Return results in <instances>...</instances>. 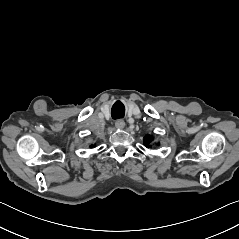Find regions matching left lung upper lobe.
Segmentation results:
<instances>
[{"instance_id": "obj_1", "label": "left lung upper lobe", "mask_w": 239, "mask_h": 239, "mask_svg": "<svg viewBox=\"0 0 239 239\" xmlns=\"http://www.w3.org/2000/svg\"><path fill=\"white\" fill-rule=\"evenodd\" d=\"M153 141V137L151 135H147L144 137V144L148 147L149 143Z\"/></svg>"}]
</instances>
